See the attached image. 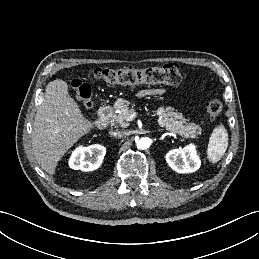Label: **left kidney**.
<instances>
[{
	"label": "left kidney",
	"instance_id": "5707ae66",
	"mask_svg": "<svg viewBox=\"0 0 259 259\" xmlns=\"http://www.w3.org/2000/svg\"><path fill=\"white\" fill-rule=\"evenodd\" d=\"M168 165L177 173H192L200 168L201 161L194 144L170 150L166 156Z\"/></svg>",
	"mask_w": 259,
	"mask_h": 259
}]
</instances>
